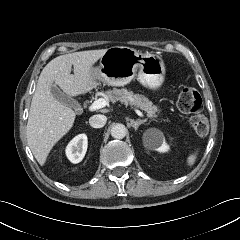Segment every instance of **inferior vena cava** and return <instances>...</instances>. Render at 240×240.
Listing matches in <instances>:
<instances>
[{
    "mask_svg": "<svg viewBox=\"0 0 240 240\" xmlns=\"http://www.w3.org/2000/svg\"><path fill=\"white\" fill-rule=\"evenodd\" d=\"M107 118L104 115H93L89 119V124L93 128H102L106 124Z\"/></svg>",
    "mask_w": 240,
    "mask_h": 240,
    "instance_id": "inferior-vena-cava-1",
    "label": "inferior vena cava"
}]
</instances>
